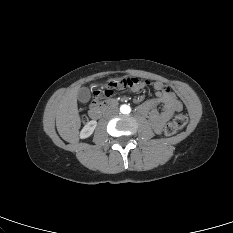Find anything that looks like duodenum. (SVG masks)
Wrapping results in <instances>:
<instances>
[{"mask_svg":"<svg viewBox=\"0 0 233 233\" xmlns=\"http://www.w3.org/2000/svg\"><path fill=\"white\" fill-rule=\"evenodd\" d=\"M116 101L108 100L99 105L92 107L89 111V115L92 119L97 120L101 118L108 110L116 106Z\"/></svg>","mask_w":233,"mask_h":233,"instance_id":"duodenum-1","label":"duodenum"}]
</instances>
